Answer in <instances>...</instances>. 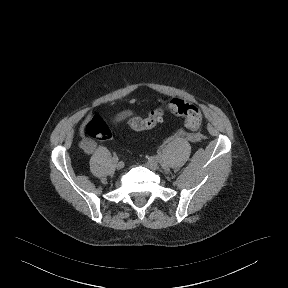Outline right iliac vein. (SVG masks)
Here are the masks:
<instances>
[{"mask_svg": "<svg viewBox=\"0 0 288 288\" xmlns=\"http://www.w3.org/2000/svg\"><path fill=\"white\" fill-rule=\"evenodd\" d=\"M113 163H114V166L117 168V169H122L124 164L122 162H118L116 160H113Z\"/></svg>", "mask_w": 288, "mask_h": 288, "instance_id": "63e3f726", "label": "right iliac vein"}]
</instances>
